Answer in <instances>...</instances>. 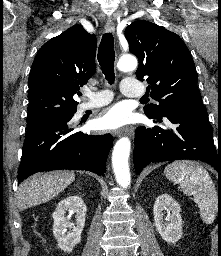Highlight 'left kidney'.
Segmentation results:
<instances>
[{
    "label": "left kidney",
    "mask_w": 221,
    "mask_h": 256,
    "mask_svg": "<svg viewBox=\"0 0 221 256\" xmlns=\"http://www.w3.org/2000/svg\"><path fill=\"white\" fill-rule=\"evenodd\" d=\"M164 210L169 212L166 217H163ZM153 213L155 227L162 239L167 243H176L183 234L179 204L168 194L159 195Z\"/></svg>",
    "instance_id": "left-kidney-1"
}]
</instances>
